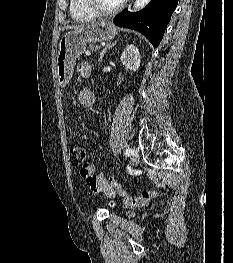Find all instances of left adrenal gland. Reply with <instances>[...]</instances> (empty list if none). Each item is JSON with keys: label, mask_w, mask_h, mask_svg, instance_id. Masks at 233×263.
Returning a JSON list of instances; mask_svg holds the SVG:
<instances>
[{"label": "left adrenal gland", "mask_w": 233, "mask_h": 263, "mask_svg": "<svg viewBox=\"0 0 233 263\" xmlns=\"http://www.w3.org/2000/svg\"><path fill=\"white\" fill-rule=\"evenodd\" d=\"M116 45V41L113 43H107V45L103 48L102 52L100 53L99 61L102 62L104 54L111 48H113Z\"/></svg>", "instance_id": "a2214340"}]
</instances>
